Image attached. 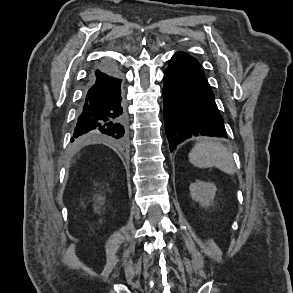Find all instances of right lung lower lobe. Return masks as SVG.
I'll list each match as a JSON object with an SVG mask.
<instances>
[{
    "label": "right lung lower lobe",
    "mask_w": 293,
    "mask_h": 293,
    "mask_svg": "<svg viewBox=\"0 0 293 293\" xmlns=\"http://www.w3.org/2000/svg\"><path fill=\"white\" fill-rule=\"evenodd\" d=\"M121 82L118 70L107 61L90 72L71 142L109 140L120 146L126 142L127 117Z\"/></svg>",
    "instance_id": "98d812e1"
}]
</instances>
